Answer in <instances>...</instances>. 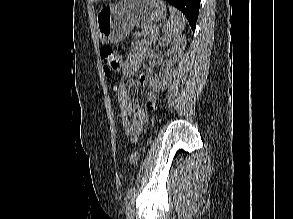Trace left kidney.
Instances as JSON below:
<instances>
[{"instance_id":"obj_1","label":"left kidney","mask_w":293,"mask_h":219,"mask_svg":"<svg viewBox=\"0 0 293 219\" xmlns=\"http://www.w3.org/2000/svg\"><path fill=\"white\" fill-rule=\"evenodd\" d=\"M165 43H171L172 48L169 51L170 59L167 62L166 68L161 76H154L152 67L147 69V80L149 86L156 92L164 91L169 83L172 81L173 69L172 66L176 62H179L182 57L185 44L181 37H172L166 35L159 39L158 45L163 46Z\"/></svg>"}]
</instances>
